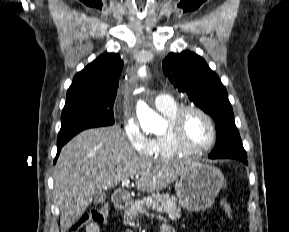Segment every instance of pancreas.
<instances>
[{"label": "pancreas", "instance_id": "obj_1", "mask_svg": "<svg viewBox=\"0 0 289 232\" xmlns=\"http://www.w3.org/2000/svg\"><path fill=\"white\" fill-rule=\"evenodd\" d=\"M149 208L168 214L171 220H177L181 217V209L177 205L174 197H170L169 195L153 194L131 204L124 212L125 219L127 221H132L139 214L146 213Z\"/></svg>", "mask_w": 289, "mask_h": 232}]
</instances>
